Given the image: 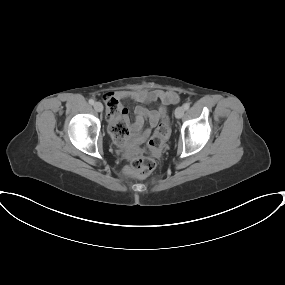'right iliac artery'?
I'll return each instance as SVG.
<instances>
[{
	"label": "right iliac artery",
	"mask_w": 285,
	"mask_h": 285,
	"mask_svg": "<svg viewBox=\"0 0 285 285\" xmlns=\"http://www.w3.org/2000/svg\"><path fill=\"white\" fill-rule=\"evenodd\" d=\"M89 103H90L91 105H93V104H94V100H93V99H90V100H89Z\"/></svg>",
	"instance_id": "right-iliac-artery-1"
}]
</instances>
